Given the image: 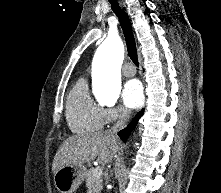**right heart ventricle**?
Masks as SVG:
<instances>
[{"label":"right heart ventricle","instance_id":"right-heart-ventricle-1","mask_svg":"<svg viewBox=\"0 0 221 193\" xmlns=\"http://www.w3.org/2000/svg\"><path fill=\"white\" fill-rule=\"evenodd\" d=\"M66 115L71 130L89 133L104 126V108L90 96L85 79H79L68 94Z\"/></svg>","mask_w":221,"mask_h":193}]
</instances>
